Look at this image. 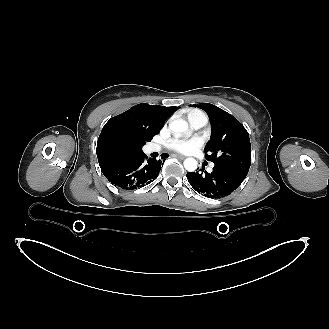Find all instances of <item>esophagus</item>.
<instances>
[{
  "mask_svg": "<svg viewBox=\"0 0 329 329\" xmlns=\"http://www.w3.org/2000/svg\"><path fill=\"white\" fill-rule=\"evenodd\" d=\"M175 157H177V158H179V159H184V158H185V156H183V155H179V154H176Z\"/></svg>",
  "mask_w": 329,
  "mask_h": 329,
  "instance_id": "1",
  "label": "esophagus"
}]
</instances>
